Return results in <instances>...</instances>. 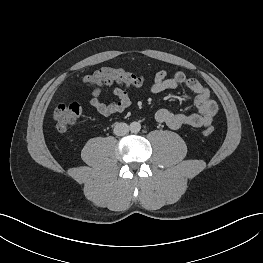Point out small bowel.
<instances>
[{
	"label": "small bowel",
	"instance_id": "small-bowel-1",
	"mask_svg": "<svg viewBox=\"0 0 263 263\" xmlns=\"http://www.w3.org/2000/svg\"><path fill=\"white\" fill-rule=\"evenodd\" d=\"M185 86L195 94L197 112L193 114L174 113L166 108H160L155 113L159 123L166 124L171 129L177 130L184 126L205 128L211 125L217 112V104L211 98L209 90L195 78L189 77L182 71L175 72L171 77L165 70L158 71L151 83L150 90L158 94L166 90ZM103 91L101 85L95 86L88 98L89 105L104 117L113 116L124 112L131 105L128 92L121 87H113L112 93L117 101L104 103L100 97Z\"/></svg>",
	"mask_w": 263,
	"mask_h": 263
}]
</instances>
